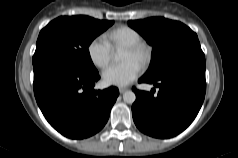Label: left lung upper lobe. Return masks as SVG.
Instances as JSON below:
<instances>
[{
    "mask_svg": "<svg viewBox=\"0 0 238 158\" xmlns=\"http://www.w3.org/2000/svg\"><path fill=\"white\" fill-rule=\"evenodd\" d=\"M128 24L153 46L151 64L144 78L153 79L186 60L205 58L196 33L181 22L152 17Z\"/></svg>",
    "mask_w": 238,
    "mask_h": 158,
    "instance_id": "1",
    "label": "left lung upper lobe"
}]
</instances>
